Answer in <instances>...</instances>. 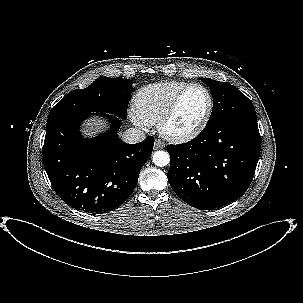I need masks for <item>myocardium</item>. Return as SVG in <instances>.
Returning <instances> with one entry per match:
<instances>
[{"instance_id": "obj_1", "label": "myocardium", "mask_w": 303, "mask_h": 303, "mask_svg": "<svg viewBox=\"0 0 303 303\" xmlns=\"http://www.w3.org/2000/svg\"><path fill=\"white\" fill-rule=\"evenodd\" d=\"M193 88H200L202 89L208 100V105L206 108V111L199 121V123L193 127L192 129L182 132V133H174L168 130V124L175 115L182 99L184 96ZM213 112V97L210 92V90L205 87L202 84L199 83H190L185 88H183L172 100L170 105L167 107V109L163 112V114L160 116L158 122H157V128L161 136H163L165 139L175 142V143H185L188 142L194 138H196L207 126L211 115Z\"/></svg>"}]
</instances>
